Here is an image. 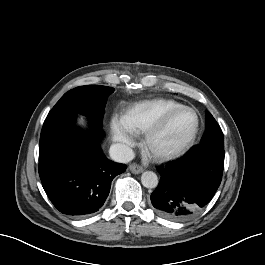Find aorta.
Returning <instances> with one entry per match:
<instances>
[{"label":"aorta","mask_w":265,"mask_h":265,"mask_svg":"<svg viewBox=\"0 0 265 265\" xmlns=\"http://www.w3.org/2000/svg\"><path fill=\"white\" fill-rule=\"evenodd\" d=\"M158 182L157 175L152 171H145L141 175V183L146 188H155Z\"/></svg>","instance_id":"aorta-1"}]
</instances>
